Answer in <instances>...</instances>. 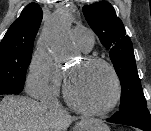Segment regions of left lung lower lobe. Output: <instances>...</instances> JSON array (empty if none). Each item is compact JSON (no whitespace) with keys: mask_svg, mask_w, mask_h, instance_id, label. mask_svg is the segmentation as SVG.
I'll return each mask as SVG.
<instances>
[{"mask_svg":"<svg viewBox=\"0 0 151 131\" xmlns=\"http://www.w3.org/2000/svg\"><path fill=\"white\" fill-rule=\"evenodd\" d=\"M107 121L137 127L144 131H151V115L147 106L142 104H135L126 109L119 110L111 118H108Z\"/></svg>","mask_w":151,"mask_h":131,"instance_id":"left-lung-lower-lobe-1","label":"left lung lower lobe"}]
</instances>
